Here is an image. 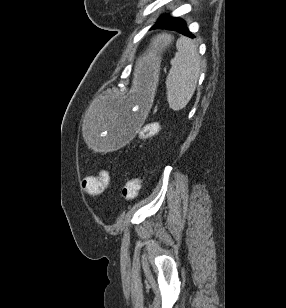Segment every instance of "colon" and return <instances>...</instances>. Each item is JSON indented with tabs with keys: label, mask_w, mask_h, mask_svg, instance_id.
Instances as JSON below:
<instances>
[{
	"label": "colon",
	"mask_w": 286,
	"mask_h": 308,
	"mask_svg": "<svg viewBox=\"0 0 286 308\" xmlns=\"http://www.w3.org/2000/svg\"><path fill=\"white\" fill-rule=\"evenodd\" d=\"M158 130L157 123L147 124L140 132L141 138H148ZM110 177L106 171L98 177H86L82 180V189L88 193L97 194L103 192L109 185ZM141 186V178L133 176L126 180L122 187V196L125 200H133L137 197Z\"/></svg>",
	"instance_id": "colon-1"
}]
</instances>
